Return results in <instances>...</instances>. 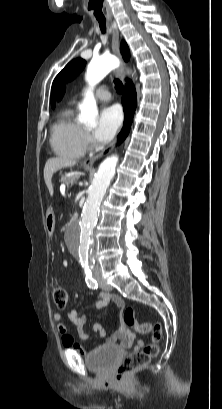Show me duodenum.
<instances>
[{
    "mask_svg": "<svg viewBox=\"0 0 222 409\" xmlns=\"http://www.w3.org/2000/svg\"><path fill=\"white\" fill-rule=\"evenodd\" d=\"M77 219H78V214H77V213H74V214L72 215V217H71V221H72V222H76Z\"/></svg>",
    "mask_w": 222,
    "mask_h": 409,
    "instance_id": "obj_1",
    "label": "duodenum"
}]
</instances>
